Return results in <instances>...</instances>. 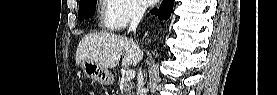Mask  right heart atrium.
I'll use <instances>...</instances> for the list:
<instances>
[{
    "instance_id": "obj_1",
    "label": "right heart atrium",
    "mask_w": 277,
    "mask_h": 95,
    "mask_svg": "<svg viewBox=\"0 0 277 95\" xmlns=\"http://www.w3.org/2000/svg\"><path fill=\"white\" fill-rule=\"evenodd\" d=\"M111 1H113L118 6V9L111 15V29H124L128 23L138 19L143 12V7L137 0Z\"/></svg>"
}]
</instances>
